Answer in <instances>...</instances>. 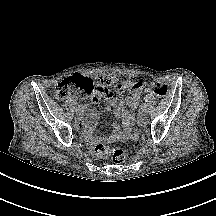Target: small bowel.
Masks as SVG:
<instances>
[{
    "label": "small bowel",
    "mask_w": 216,
    "mask_h": 216,
    "mask_svg": "<svg viewBox=\"0 0 216 216\" xmlns=\"http://www.w3.org/2000/svg\"><path fill=\"white\" fill-rule=\"evenodd\" d=\"M107 81L108 86L105 92L92 97V101L96 102L100 97H104L113 107L114 114L122 119L123 128L118 125L114 126L111 133L104 136H95L93 130L95 127L96 113L94 110L83 107L85 112V121L80 124V128L86 133L88 142L95 146L99 143H108L118 140H125L136 136L134 129L135 125V110L139 105L140 97L144 91L138 86V82L133 80L120 81L115 74H107L103 77ZM129 91V95L122 99L124 91Z\"/></svg>",
    "instance_id": "obj_1"
}]
</instances>
